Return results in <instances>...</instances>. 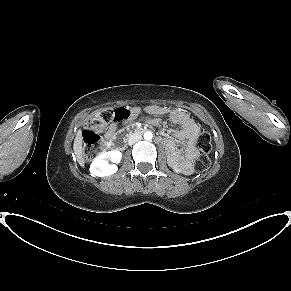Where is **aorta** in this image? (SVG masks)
<instances>
[{"instance_id":"obj_1","label":"aorta","mask_w":291,"mask_h":291,"mask_svg":"<svg viewBox=\"0 0 291 291\" xmlns=\"http://www.w3.org/2000/svg\"><path fill=\"white\" fill-rule=\"evenodd\" d=\"M152 138H153L152 132L147 131V132L144 133V139L145 140L150 141V140H152Z\"/></svg>"}]
</instances>
